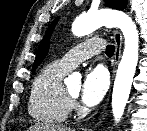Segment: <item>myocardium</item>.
I'll list each match as a JSON object with an SVG mask.
<instances>
[{
    "mask_svg": "<svg viewBox=\"0 0 147 131\" xmlns=\"http://www.w3.org/2000/svg\"><path fill=\"white\" fill-rule=\"evenodd\" d=\"M65 94L70 101H73L76 98V95H73L72 93H70L67 88H65Z\"/></svg>",
    "mask_w": 147,
    "mask_h": 131,
    "instance_id": "obj_1",
    "label": "myocardium"
}]
</instances>
